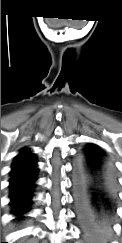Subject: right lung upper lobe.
I'll return each mask as SVG.
<instances>
[{"instance_id": "right-lung-upper-lobe-1", "label": "right lung upper lobe", "mask_w": 122, "mask_h": 243, "mask_svg": "<svg viewBox=\"0 0 122 243\" xmlns=\"http://www.w3.org/2000/svg\"><path fill=\"white\" fill-rule=\"evenodd\" d=\"M34 165H36L34 154L24 149L16 156L11 167V174Z\"/></svg>"}]
</instances>
